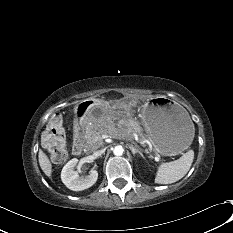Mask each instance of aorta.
<instances>
[{"mask_svg": "<svg viewBox=\"0 0 233 233\" xmlns=\"http://www.w3.org/2000/svg\"><path fill=\"white\" fill-rule=\"evenodd\" d=\"M124 152V149L121 145H117L113 148V153L116 156H121Z\"/></svg>", "mask_w": 233, "mask_h": 233, "instance_id": "aorta-1", "label": "aorta"}]
</instances>
